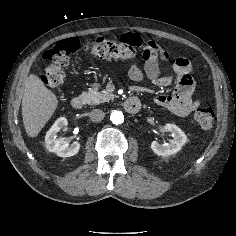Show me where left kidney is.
Here are the masks:
<instances>
[{
  "label": "left kidney",
  "mask_w": 236,
  "mask_h": 236,
  "mask_svg": "<svg viewBox=\"0 0 236 236\" xmlns=\"http://www.w3.org/2000/svg\"><path fill=\"white\" fill-rule=\"evenodd\" d=\"M165 128L173 135V139L166 144H160L157 141L151 143V149L159 156H169L180 151L181 147L186 144L187 136L185 133L175 124H166Z\"/></svg>",
  "instance_id": "obj_1"
}]
</instances>
